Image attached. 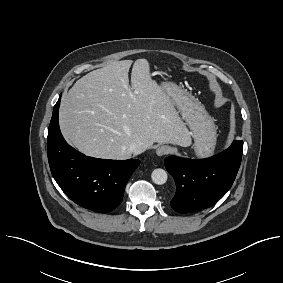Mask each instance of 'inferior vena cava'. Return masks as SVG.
<instances>
[{
    "mask_svg": "<svg viewBox=\"0 0 283 283\" xmlns=\"http://www.w3.org/2000/svg\"><path fill=\"white\" fill-rule=\"evenodd\" d=\"M129 150H130L131 153L138 155V154L145 151V147L142 146L141 144L137 143V142H132L129 145Z\"/></svg>",
    "mask_w": 283,
    "mask_h": 283,
    "instance_id": "602c4592",
    "label": "inferior vena cava"
}]
</instances>
